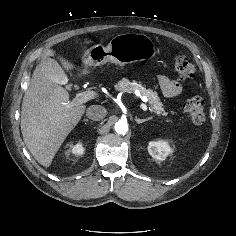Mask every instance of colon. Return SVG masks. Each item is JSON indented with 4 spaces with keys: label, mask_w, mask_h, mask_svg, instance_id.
<instances>
[{
    "label": "colon",
    "mask_w": 236,
    "mask_h": 236,
    "mask_svg": "<svg viewBox=\"0 0 236 236\" xmlns=\"http://www.w3.org/2000/svg\"><path fill=\"white\" fill-rule=\"evenodd\" d=\"M175 71L180 80L191 79L195 74L194 65L183 55L175 59ZM183 108L195 124L205 121L204 101L198 95H193L184 101Z\"/></svg>",
    "instance_id": "1"
}]
</instances>
